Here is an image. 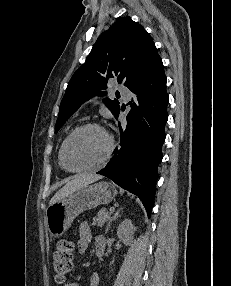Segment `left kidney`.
<instances>
[{
	"mask_svg": "<svg viewBox=\"0 0 231 286\" xmlns=\"http://www.w3.org/2000/svg\"><path fill=\"white\" fill-rule=\"evenodd\" d=\"M133 233H134V226L130 219H125L119 224L117 229V236L125 244H129L130 240L133 237Z\"/></svg>",
	"mask_w": 231,
	"mask_h": 286,
	"instance_id": "1",
	"label": "left kidney"
}]
</instances>
